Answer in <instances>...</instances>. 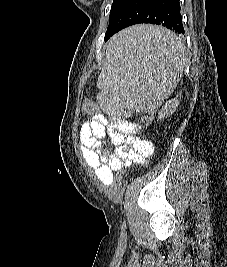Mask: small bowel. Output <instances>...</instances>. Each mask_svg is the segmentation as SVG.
<instances>
[{"instance_id":"c3829d8e","label":"small bowel","mask_w":227,"mask_h":267,"mask_svg":"<svg viewBox=\"0 0 227 267\" xmlns=\"http://www.w3.org/2000/svg\"><path fill=\"white\" fill-rule=\"evenodd\" d=\"M107 120L100 115L87 119L80 129L81 152L87 165L94 170L103 185L110 186L114 171L133 160L132 166L142 164L153 154V144L138 135L140 126L132 121H113L109 130ZM106 135L116 147L107 148Z\"/></svg>"}]
</instances>
